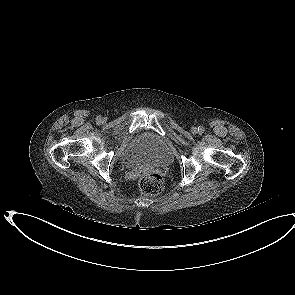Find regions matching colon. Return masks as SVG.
I'll list each match as a JSON object with an SVG mask.
<instances>
[{
    "label": "colon",
    "mask_w": 295,
    "mask_h": 295,
    "mask_svg": "<svg viewBox=\"0 0 295 295\" xmlns=\"http://www.w3.org/2000/svg\"><path fill=\"white\" fill-rule=\"evenodd\" d=\"M138 185L143 194L151 196L160 194L164 187L162 177L156 173L142 174Z\"/></svg>",
    "instance_id": "obj_1"
}]
</instances>
